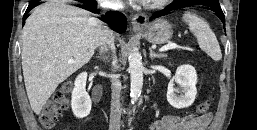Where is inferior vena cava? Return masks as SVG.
<instances>
[{
    "label": "inferior vena cava",
    "instance_id": "inferior-vena-cava-1",
    "mask_svg": "<svg viewBox=\"0 0 257 130\" xmlns=\"http://www.w3.org/2000/svg\"><path fill=\"white\" fill-rule=\"evenodd\" d=\"M121 0H112V8L120 9L122 8ZM98 46L101 48L111 49L113 53V69H117V57L115 55L114 46V36L113 32L107 27L103 26L101 29L100 37L98 40ZM111 113H110V125L109 130H120L121 121V107H120V92H121V82L117 75L111 78Z\"/></svg>",
    "mask_w": 257,
    "mask_h": 130
}]
</instances>
